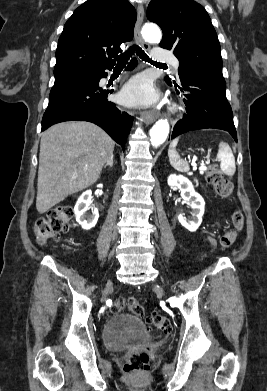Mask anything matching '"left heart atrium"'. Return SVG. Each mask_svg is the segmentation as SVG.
I'll list each match as a JSON object with an SVG mask.
<instances>
[{"label":"left heart atrium","instance_id":"1","mask_svg":"<svg viewBox=\"0 0 267 391\" xmlns=\"http://www.w3.org/2000/svg\"><path fill=\"white\" fill-rule=\"evenodd\" d=\"M127 105H150L156 102L158 94L149 77L139 75L130 80L121 93Z\"/></svg>","mask_w":267,"mask_h":391}]
</instances>
